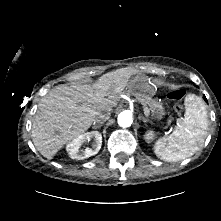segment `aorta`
<instances>
[{"mask_svg":"<svg viewBox=\"0 0 221 221\" xmlns=\"http://www.w3.org/2000/svg\"><path fill=\"white\" fill-rule=\"evenodd\" d=\"M119 126L126 128L130 127L133 123L132 112L125 110L122 111L117 118Z\"/></svg>","mask_w":221,"mask_h":221,"instance_id":"762f6f07","label":"aorta"}]
</instances>
